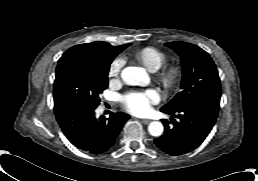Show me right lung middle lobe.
Wrapping results in <instances>:
<instances>
[{"label": "right lung middle lobe", "mask_w": 258, "mask_h": 181, "mask_svg": "<svg viewBox=\"0 0 258 181\" xmlns=\"http://www.w3.org/2000/svg\"><path fill=\"white\" fill-rule=\"evenodd\" d=\"M129 45L125 44L123 49ZM110 63L78 50H67L56 69L54 107L73 103L95 109L100 94L108 87Z\"/></svg>", "instance_id": "dd1d6c3e"}]
</instances>
